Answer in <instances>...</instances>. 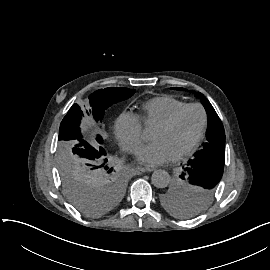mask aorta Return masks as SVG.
Wrapping results in <instances>:
<instances>
[{
  "label": "aorta",
  "instance_id": "obj_1",
  "mask_svg": "<svg viewBox=\"0 0 270 270\" xmlns=\"http://www.w3.org/2000/svg\"><path fill=\"white\" fill-rule=\"evenodd\" d=\"M152 184L157 188H165L169 184L170 175L167 171L158 169L155 170L151 177Z\"/></svg>",
  "mask_w": 270,
  "mask_h": 270
}]
</instances>
